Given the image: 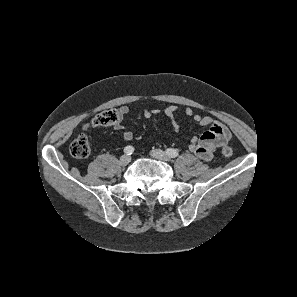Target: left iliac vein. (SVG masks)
<instances>
[{
    "instance_id": "obj_1",
    "label": "left iliac vein",
    "mask_w": 297,
    "mask_h": 297,
    "mask_svg": "<svg viewBox=\"0 0 297 297\" xmlns=\"http://www.w3.org/2000/svg\"><path fill=\"white\" fill-rule=\"evenodd\" d=\"M150 155L153 157V158H156V159H159V160H162V161H170V156L165 153L164 151L160 150V149H156V150H152L150 152Z\"/></svg>"
}]
</instances>
